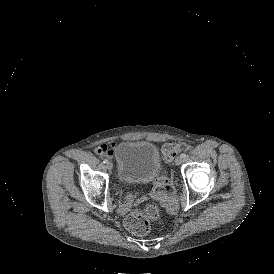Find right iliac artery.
<instances>
[{"label":"right iliac artery","mask_w":274,"mask_h":274,"mask_svg":"<svg viewBox=\"0 0 274 274\" xmlns=\"http://www.w3.org/2000/svg\"><path fill=\"white\" fill-rule=\"evenodd\" d=\"M107 162H108V160H107V159H105V160L103 161V163H105V164H106Z\"/></svg>","instance_id":"obj_1"}]
</instances>
